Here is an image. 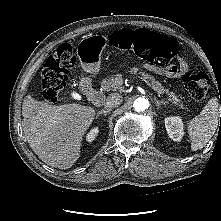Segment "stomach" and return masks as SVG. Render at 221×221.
Segmentation results:
<instances>
[{"mask_svg": "<svg viewBox=\"0 0 221 221\" xmlns=\"http://www.w3.org/2000/svg\"><path fill=\"white\" fill-rule=\"evenodd\" d=\"M108 44V37L101 34L86 35L79 41V60L85 72L92 73L93 75L98 74L101 65V55Z\"/></svg>", "mask_w": 221, "mask_h": 221, "instance_id": "0dacf381", "label": "stomach"}]
</instances>
